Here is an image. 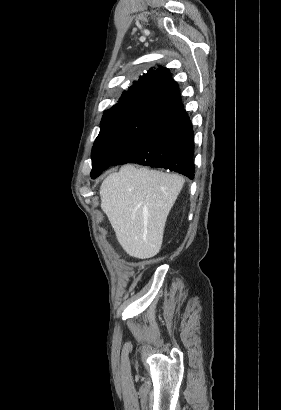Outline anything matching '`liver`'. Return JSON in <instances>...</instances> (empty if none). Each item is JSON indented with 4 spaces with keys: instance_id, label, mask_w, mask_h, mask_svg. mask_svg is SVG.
Returning a JSON list of instances; mask_svg holds the SVG:
<instances>
[{
    "instance_id": "1",
    "label": "liver",
    "mask_w": 281,
    "mask_h": 410,
    "mask_svg": "<svg viewBox=\"0 0 281 410\" xmlns=\"http://www.w3.org/2000/svg\"><path fill=\"white\" fill-rule=\"evenodd\" d=\"M184 179L134 165H125L105 178L100 187L101 209L122 248L138 259L157 255L167 216Z\"/></svg>"
}]
</instances>
